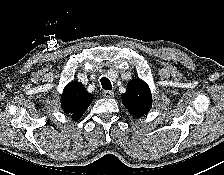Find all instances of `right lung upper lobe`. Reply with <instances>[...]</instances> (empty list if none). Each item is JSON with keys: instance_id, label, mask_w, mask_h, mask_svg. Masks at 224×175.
<instances>
[{"instance_id": "obj_1", "label": "right lung upper lobe", "mask_w": 224, "mask_h": 175, "mask_svg": "<svg viewBox=\"0 0 224 175\" xmlns=\"http://www.w3.org/2000/svg\"><path fill=\"white\" fill-rule=\"evenodd\" d=\"M93 100L84 86L76 81L70 82L64 89L61 97L63 111L71 115L73 120H78L85 113Z\"/></svg>"}]
</instances>
